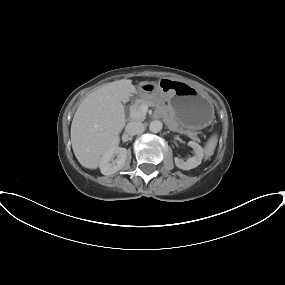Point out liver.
Returning <instances> with one entry per match:
<instances>
[{"instance_id":"liver-1","label":"liver","mask_w":285,"mask_h":285,"mask_svg":"<svg viewBox=\"0 0 285 285\" xmlns=\"http://www.w3.org/2000/svg\"><path fill=\"white\" fill-rule=\"evenodd\" d=\"M133 93L136 87L132 80L121 79L102 86L81 102L71 124V142L82 166L96 169L104 152L118 142L126 124L122 103L128 102Z\"/></svg>"}]
</instances>
